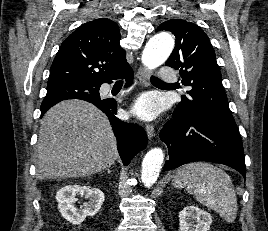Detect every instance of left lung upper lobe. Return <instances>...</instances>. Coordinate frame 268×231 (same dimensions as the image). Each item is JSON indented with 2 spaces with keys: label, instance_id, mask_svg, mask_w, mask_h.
Segmentation results:
<instances>
[{
  "label": "left lung upper lobe",
  "instance_id": "1",
  "mask_svg": "<svg viewBox=\"0 0 268 231\" xmlns=\"http://www.w3.org/2000/svg\"><path fill=\"white\" fill-rule=\"evenodd\" d=\"M174 34L175 48L166 65L179 69L181 83L191 86L174 112L186 117L210 119L238 130L228 106L222 76L214 49L205 32L196 24L181 19L162 23L157 31Z\"/></svg>",
  "mask_w": 268,
  "mask_h": 231
}]
</instances>
